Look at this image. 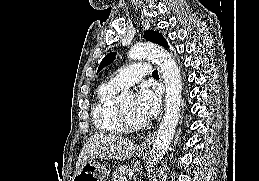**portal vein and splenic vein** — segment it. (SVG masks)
Listing matches in <instances>:
<instances>
[{
    "label": "portal vein and splenic vein",
    "instance_id": "18ae733b",
    "mask_svg": "<svg viewBox=\"0 0 259 181\" xmlns=\"http://www.w3.org/2000/svg\"><path fill=\"white\" fill-rule=\"evenodd\" d=\"M120 181H127V179L122 177V178H120Z\"/></svg>",
    "mask_w": 259,
    "mask_h": 181
}]
</instances>
